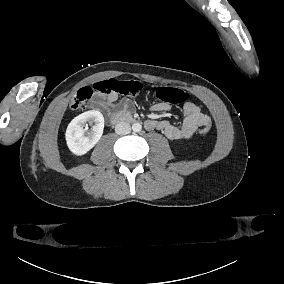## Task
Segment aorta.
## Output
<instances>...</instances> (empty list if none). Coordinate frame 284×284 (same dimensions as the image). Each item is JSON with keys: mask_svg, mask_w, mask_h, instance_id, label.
Listing matches in <instances>:
<instances>
[{"mask_svg": "<svg viewBox=\"0 0 284 284\" xmlns=\"http://www.w3.org/2000/svg\"><path fill=\"white\" fill-rule=\"evenodd\" d=\"M132 130L134 132H140L142 130V125L140 123H134L132 125Z\"/></svg>", "mask_w": 284, "mask_h": 284, "instance_id": "762f6f07", "label": "aorta"}]
</instances>
